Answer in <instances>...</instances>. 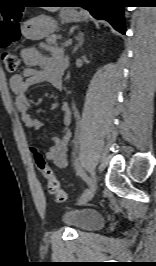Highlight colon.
<instances>
[{
	"mask_svg": "<svg viewBox=\"0 0 156 266\" xmlns=\"http://www.w3.org/2000/svg\"><path fill=\"white\" fill-rule=\"evenodd\" d=\"M21 11L16 9L10 15L3 17L0 21V44L5 46L18 41L20 38L19 19ZM3 62L9 72L18 69L20 61L18 56L12 52L3 54ZM35 163L38 170L47 181V191L53 195L58 203L67 200V194L62 190L59 180L56 178L53 170L48 166L46 160L39 153H35Z\"/></svg>",
	"mask_w": 156,
	"mask_h": 266,
	"instance_id": "colon-1",
	"label": "colon"
}]
</instances>
